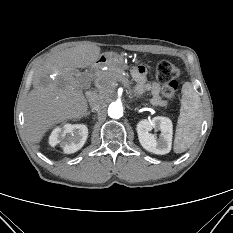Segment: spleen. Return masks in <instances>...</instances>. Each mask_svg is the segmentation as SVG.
I'll return each mask as SVG.
<instances>
[{"label": "spleen", "instance_id": "obj_1", "mask_svg": "<svg viewBox=\"0 0 233 233\" xmlns=\"http://www.w3.org/2000/svg\"><path fill=\"white\" fill-rule=\"evenodd\" d=\"M202 123L201 101L190 82L182 86L180 115L177 122L174 151H186L196 140Z\"/></svg>", "mask_w": 233, "mask_h": 233}]
</instances>
